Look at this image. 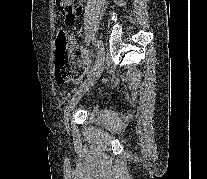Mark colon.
<instances>
[{
	"label": "colon",
	"mask_w": 207,
	"mask_h": 179,
	"mask_svg": "<svg viewBox=\"0 0 207 179\" xmlns=\"http://www.w3.org/2000/svg\"><path fill=\"white\" fill-rule=\"evenodd\" d=\"M58 11L65 16V23L72 24L73 0H55ZM55 78L59 82H75L87 72V64L80 50H71L68 33L60 30L55 40Z\"/></svg>",
	"instance_id": "obj_1"
}]
</instances>
